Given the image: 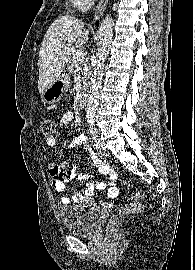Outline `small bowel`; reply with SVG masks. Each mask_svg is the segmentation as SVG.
Wrapping results in <instances>:
<instances>
[{
    "label": "small bowel",
    "instance_id": "obj_1",
    "mask_svg": "<svg viewBox=\"0 0 195 270\" xmlns=\"http://www.w3.org/2000/svg\"><path fill=\"white\" fill-rule=\"evenodd\" d=\"M73 119V113L67 112L60 119V126L65 127L68 125ZM58 142L57 136L53 135L48 137L46 143L54 147ZM77 145H83L84 149L88 153L91 164L95 167L101 175L107 176L108 180L97 181V182H85L87 178L93 177V175L88 173H82L76 175L75 170H69L66 173H63L62 170L67 166L66 162H51L48 165V172L51 178L52 186L55 191L59 193H63L65 191L66 185L71 182L74 178H76L81 183H84L85 190L81 194H76L72 197H68L63 195L61 197L62 204H70V203H81V202H96L94 199L95 191H105L107 197L113 201L119 194V190L116 187L117 180V172L110 165L103 162L95 153V151L86 143V139L83 135L76 137L71 141L70 147H74Z\"/></svg>",
    "mask_w": 195,
    "mask_h": 270
}]
</instances>
